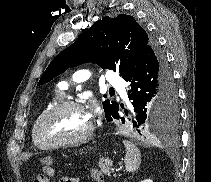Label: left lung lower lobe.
Returning a JSON list of instances; mask_svg holds the SVG:
<instances>
[{"label":"left lung lower lobe","mask_w":211,"mask_h":182,"mask_svg":"<svg viewBox=\"0 0 211 182\" xmlns=\"http://www.w3.org/2000/svg\"><path fill=\"white\" fill-rule=\"evenodd\" d=\"M126 81L130 83L128 94L134 107L133 126L139 134L141 132L138 128L145 123L146 107L150 102L157 105L162 125L177 122L179 111L176 86L165 54L155 40H151L137 67ZM121 120L125 121L124 118Z\"/></svg>","instance_id":"1"}]
</instances>
